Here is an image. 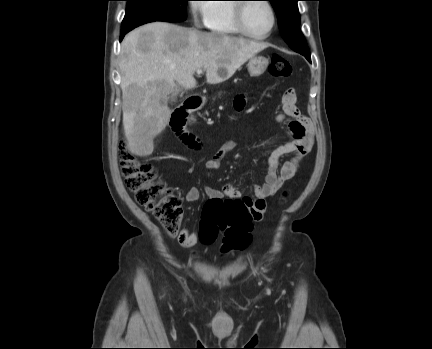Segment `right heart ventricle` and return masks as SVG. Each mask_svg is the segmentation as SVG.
Here are the masks:
<instances>
[{
    "instance_id": "1",
    "label": "right heart ventricle",
    "mask_w": 432,
    "mask_h": 349,
    "mask_svg": "<svg viewBox=\"0 0 432 349\" xmlns=\"http://www.w3.org/2000/svg\"><path fill=\"white\" fill-rule=\"evenodd\" d=\"M225 1L214 0L209 3V9L205 17V26L213 34L220 36H238L241 33L237 30L234 20V5Z\"/></svg>"
}]
</instances>
